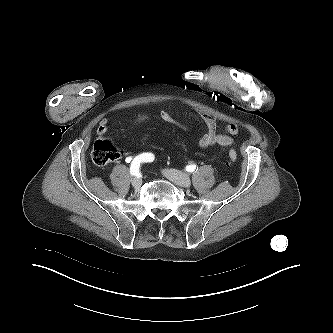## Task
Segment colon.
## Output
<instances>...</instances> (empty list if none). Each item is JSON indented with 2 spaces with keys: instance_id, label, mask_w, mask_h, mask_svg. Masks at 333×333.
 Segmentation results:
<instances>
[{
  "instance_id": "colon-1",
  "label": "colon",
  "mask_w": 333,
  "mask_h": 333,
  "mask_svg": "<svg viewBox=\"0 0 333 333\" xmlns=\"http://www.w3.org/2000/svg\"><path fill=\"white\" fill-rule=\"evenodd\" d=\"M155 120L150 114H139L134 119L132 124L137 126L144 123H149ZM122 155V151L112 144L109 140L106 139H98L95 141L92 151H91V160L97 166H105ZM229 159L230 162L233 163L237 159V153L234 149H230L229 151Z\"/></svg>"
}]
</instances>
